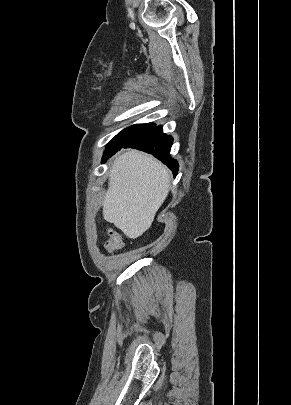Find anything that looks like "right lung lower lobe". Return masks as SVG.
I'll use <instances>...</instances> for the list:
<instances>
[{
  "instance_id": "right-lung-lower-lobe-1",
  "label": "right lung lower lobe",
  "mask_w": 291,
  "mask_h": 405,
  "mask_svg": "<svg viewBox=\"0 0 291 405\" xmlns=\"http://www.w3.org/2000/svg\"><path fill=\"white\" fill-rule=\"evenodd\" d=\"M172 143L173 138L163 134L161 126H154L121 148H135L154 155L173 171L175 177L179 166L178 162L170 156Z\"/></svg>"
}]
</instances>
